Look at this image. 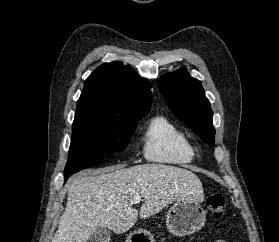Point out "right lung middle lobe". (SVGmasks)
<instances>
[{"label":"right lung middle lobe","instance_id":"1","mask_svg":"<svg viewBox=\"0 0 279 242\" xmlns=\"http://www.w3.org/2000/svg\"><path fill=\"white\" fill-rule=\"evenodd\" d=\"M136 127L137 121L75 117L64 178L123 151Z\"/></svg>","mask_w":279,"mask_h":242}]
</instances>
